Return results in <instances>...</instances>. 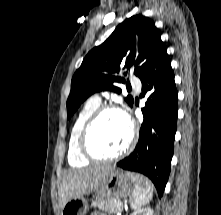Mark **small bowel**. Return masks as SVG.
Masks as SVG:
<instances>
[{"mask_svg":"<svg viewBox=\"0 0 221 215\" xmlns=\"http://www.w3.org/2000/svg\"><path fill=\"white\" fill-rule=\"evenodd\" d=\"M91 215H104V214H101V213H93V214H91Z\"/></svg>","mask_w":221,"mask_h":215,"instance_id":"c3829d8e","label":"small bowel"}]
</instances>
